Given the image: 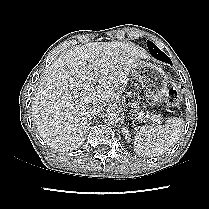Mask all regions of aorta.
Instances as JSON below:
<instances>
[{"mask_svg": "<svg viewBox=\"0 0 209 209\" xmlns=\"http://www.w3.org/2000/svg\"><path fill=\"white\" fill-rule=\"evenodd\" d=\"M104 121L109 125L116 126L122 121V115L119 111H110L105 114Z\"/></svg>", "mask_w": 209, "mask_h": 209, "instance_id": "1", "label": "aorta"}]
</instances>
